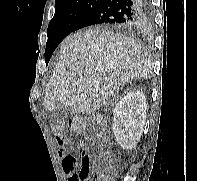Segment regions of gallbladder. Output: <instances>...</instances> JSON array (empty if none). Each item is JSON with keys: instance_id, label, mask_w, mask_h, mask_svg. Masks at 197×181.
Wrapping results in <instances>:
<instances>
[{"instance_id": "1", "label": "gallbladder", "mask_w": 197, "mask_h": 181, "mask_svg": "<svg viewBox=\"0 0 197 181\" xmlns=\"http://www.w3.org/2000/svg\"><path fill=\"white\" fill-rule=\"evenodd\" d=\"M53 112H55L56 115H59L61 113V109H55V110H53Z\"/></svg>"}]
</instances>
